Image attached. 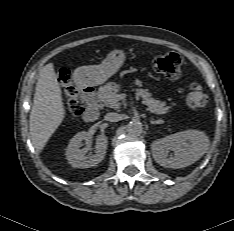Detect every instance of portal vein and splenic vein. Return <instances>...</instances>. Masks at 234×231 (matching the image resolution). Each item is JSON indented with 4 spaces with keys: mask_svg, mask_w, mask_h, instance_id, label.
<instances>
[{
    "mask_svg": "<svg viewBox=\"0 0 234 231\" xmlns=\"http://www.w3.org/2000/svg\"><path fill=\"white\" fill-rule=\"evenodd\" d=\"M124 98H126V94H120V95H117L115 100L119 101L120 99H124Z\"/></svg>",
    "mask_w": 234,
    "mask_h": 231,
    "instance_id": "portal-vein-and-splenic-vein-1",
    "label": "portal vein and splenic vein"
}]
</instances>
